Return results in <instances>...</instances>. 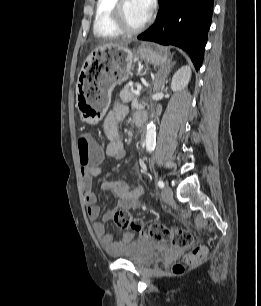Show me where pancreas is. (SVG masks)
I'll use <instances>...</instances> for the list:
<instances>
[{
	"mask_svg": "<svg viewBox=\"0 0 261 306\" xmlns=\"http://www.w3.org/2000/svg\"><path fill=\"white\" fill-rule=\"evenodd\" d=\"M138 84H136L137 86ZM136 97V93L130 90V86L126 85L120 92V100L123 103H128Z\"/></svg>",
	"mask_w": 261,
	"mask_h": 306,
	"instance_id": "obj_1",
	"label": "pancreas"
}]
</instances>
